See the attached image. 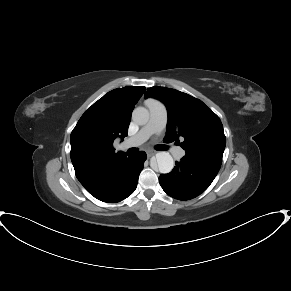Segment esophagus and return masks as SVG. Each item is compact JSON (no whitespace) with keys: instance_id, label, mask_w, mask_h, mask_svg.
<instances>
[{"instance_id":"obj_1","label":"esophagus","mask_w":291,"mask_h":291,"mask_svg":"<svg viewBox=\"0 0 291 291\" xmlns=\"http://www.w3.org/2000/svg\"><path fill=\"white\" fill-rule=\"evenodd\" d=\"M155 153H156V152L153 151V150H148V151H147V156H148V157H151V156L155 155Z\"/></svg>"}]
</instances>
